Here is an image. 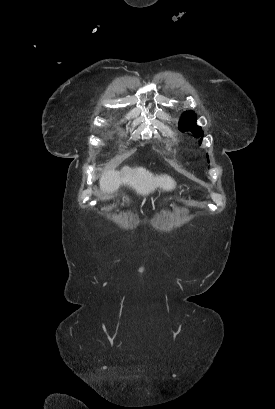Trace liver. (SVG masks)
Returning <instances> with one entry per match:
<instances>
[{
  "mask_svg": "<svg viewBox=\"0 0 275 409\" xmlns=\"http://www.w3.org/2000/svg\"><path fill=\"white\" fill-rule=\"evenodd\" d=\"M99 184L103 192H114L121 184H128L138 194H149L158 186L163 190H172L176 186L175 180L168 174L153 176L152 172H149L143 166H136V168L123 166L121 170H114V168L103 170L99 178Z\"/></svg>",
  "mask_w": 275,
  "mask_h": 409,
  "instance_id": "liver-1",
  "label": "liver"
}]
</instances>
